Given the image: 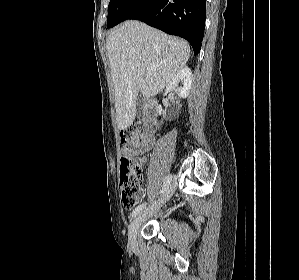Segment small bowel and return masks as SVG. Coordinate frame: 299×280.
I'll return each instance as SVG.
<instances>
[{
    "mask_svg": "<svg viewBox=\"0 0 299 280\" xmlns=\"http://www.w3.org/2000/svg\"><path fill=\"white\" fill-rule=\"evenodd\" d=\"M154 145V139L150 134H145L140 143L129 147H123V153L127 156H137L149 151ZM138 163L143 164V159H138ZM141 196V195H140Z\"/></svg>",
    "mask_w": 299,
    "mask_h": 280,
    "instance_id": "small-bowel-1",
    "label": "small bowel"
}]
</instances>
